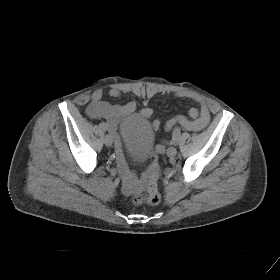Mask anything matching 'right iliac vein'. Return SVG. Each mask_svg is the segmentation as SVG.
I'll list each match as a JSON object with an SVG mask.
<instances>
[{
  "mask_svg": "<svg viewBox=\"0 0 280 280\" xmlns=\"http://www.w3.org/2000/svg\"><path fill=\"white\" fill-rule=\"evenodd\" d=\"M113 137L111 135H106L104 138V143L106 146H111L113 144Z\"/></svg>",
  "mask_w": 280,
  "mask_h": 280,
  "instance_id": "63e3f726",
  "label": "right iliac vein"
}]
</instances>
